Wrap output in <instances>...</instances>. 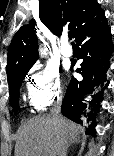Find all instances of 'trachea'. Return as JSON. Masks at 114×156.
Returning <instances> with one entry per match:
<instances>
[{
  "label": "trachea",
  "mask_w": 114,
  "mask_h": 156,
  "mask_svg": "<svg viewBox=\"0 0 114 156\" xmlns=\"http://www.w3.org/2000/svg\"><path fill=\"white\" fill-rule=\"evenodd\" d=\"M68 37L70 40H72V34L70 32L68 33Z\"/></svg>",
  "instance_id": "trachea-1"
}]
</instances>
